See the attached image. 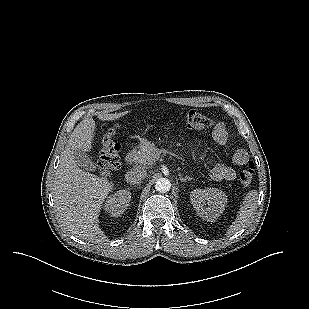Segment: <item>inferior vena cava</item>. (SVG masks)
<instances>
[{
  "label": "inferior vena cava",
  "mask_w": 309,
  "mask_h": 309,
  "mask_svg": "<svg viewBox=\"0 0 309 309\" xmlns=\"http://www.w3.org/2000/svg\"><path fill=\"white\" fill-rule=\"evenodd\" d=\"M146 176V170L141 166H137L126 173L125 179L127 183L134 185L139 184Z\"/></svg>",
  "instance_id": "inferior-vena-cava-1"
}]
</instances>
